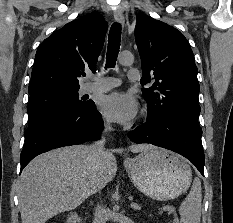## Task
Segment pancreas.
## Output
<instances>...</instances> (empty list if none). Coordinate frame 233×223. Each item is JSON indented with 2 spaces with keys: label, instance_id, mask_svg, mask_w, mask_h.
<instances>
[{
  "label": "pancreas",
  "instance_id": "1",
  "mask_svg": "<svg viewBox=\"0 0 233 223\" xmlns=\"http://www.w3.org/2000/svg\"><path fill=\"white\" fill-rule=\"evenodd\" d=\"M163 209H167L169 213H174L175 207H172V205H166V207H163ZM159 213H162V211H159Z\"/></svg>",
  "mask_w": 233,
  "mask_h": 223
}]
</instances>
